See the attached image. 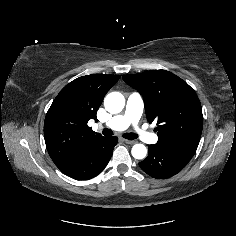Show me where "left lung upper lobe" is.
Returning a JSON list of instances; mask_svg holds the SVG:
<instances>
[{"instance_id": "obj_1", "label": "left lung upper lobe", "mask_w": 236, "mask_h": 236, "mask_svg": "<svg viewBox=\"0 0 236 236\" xmlns=\"http://www.w3.org/2000/svg\"><path fill=\"white\" fill-rule=\"evenodd\" d=\"M123 80L142 95L149 123L157 122V144L198 146L202 108L185 81L166 70L124 75Z\"/></svg>"}]
</instances>
